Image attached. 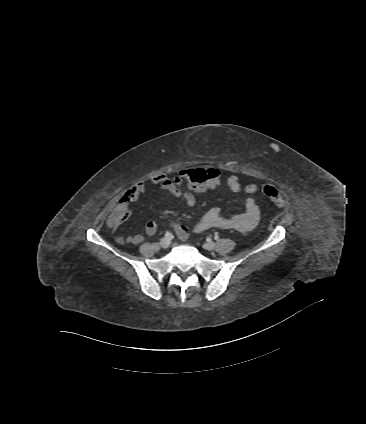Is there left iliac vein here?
Segmentation results:
<instances>
[{"instance_id": "4c4485c4", "label": "left iliac vein", "mask_w": 366, "mask_h": 424, "mask_svg": "<svg viewBox=\"0 0 366 424\" xmlns=\"http://www.w3.org/2000/svg\"><path fill=\"white\" fill-rule=\"evenodd\" d=\"M215 246H216V244H215L214 242L210 241V242H207V243L204 245V248H205L206 250H208V251H211V250H213V249L215 248Z\"/></svg>"}]
</instances>
